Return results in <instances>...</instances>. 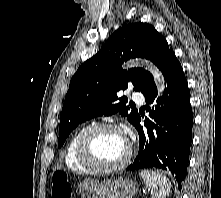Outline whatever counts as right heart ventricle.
<instances>
[{
	"instance_id": "right-heart-ventricle-1",
	"label": "right heart ventricle",
	"mask_w": 221,
	"mask_h": 198,
	"mask_svg": "<svg viewBox=\"0 0 221 198\" xmlns=\"http://www.w3.org/2000/svg\"><path fill=\"white\" fill-rule=\"evenodd\" d=\"M86 127L78 129L69 139L64 150V163L66 167L77 173H89L88 168L82 165L77 156V145L82 133L86 130Z\"/></svg>"
}]
</instances>
